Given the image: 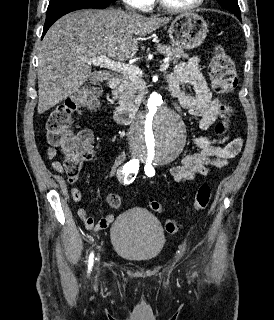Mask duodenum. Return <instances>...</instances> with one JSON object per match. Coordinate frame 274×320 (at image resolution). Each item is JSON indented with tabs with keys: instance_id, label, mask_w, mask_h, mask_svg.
Wrapping results in <instances>:
<instances>
[{
	"instance_id": "duodenum-1",
	"label": "duodenum",
	"mask_w": 274,
	"mask_h": 320,
	"mask_svg": "<svg viewBox=\"0 0 274 320\" xmlns=\"http://www.w3.org/2000/svg\"><path fill=\"white\" fill-rule=\"evenodd\" d=\"M120 77L117 75H112L108 78V86L111 90H115L120 85ZM173 98H176L173 96ZM114 119L120 124H129L132 122L136 115V111L133 109L125 107H117L113 110Z\"/></svg>"
}]
</instances>
